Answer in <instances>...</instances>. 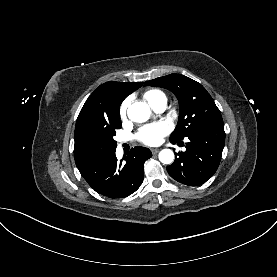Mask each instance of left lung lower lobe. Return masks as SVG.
<instances>
[{
  "label": "left lung lower lobe",
  "mask_w": 277,
  "mask_h": 277,
  "mask_svg": "<svg viewBox=\"0 0 277 277\" xmlns=\"http://www.w3.org/2000/svg\"><path fill=\"white\" fill-rule=\"evenodd\" d=\"M188 139L186 151L176 153V159L167 166V171L180 183L198 186L211 178L219 166L225 144L223 121L200 127Z\"/></svg>",
  "instance_id": "0a47b994"
}]
</instances>
